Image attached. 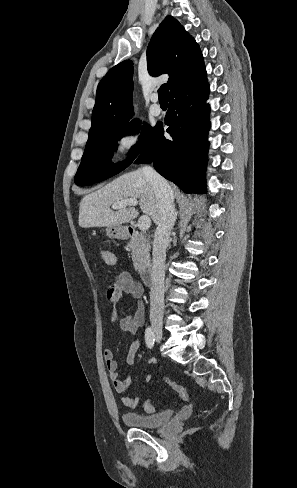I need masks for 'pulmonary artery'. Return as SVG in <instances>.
I'll use <instances>...</instances> for the list:
<instances>
[{"label": "pulmonary artery", "instance_id": "1", "mask_svg": "<svg viewBox=\"0 0 297 488\" xmlns=\"http://www.w3.org/2000/svg\"><path fill=\"white\" fill-rule=\"evenodd\" d=\"M151 100H152L153 104L150 106V109H149L150 113L154 116H160L162 113V110H161L160 106L157 104L158 95L153 94L151 96Z\"/></svg>", "mask_w": 297, "mask_h": 488}]
</instances>
